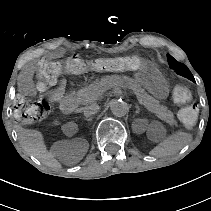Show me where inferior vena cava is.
<instances>
[{"label":"inferior vena cava","mask_w":211,"mask_h":211,"mask_svg":"<svg viewBox=\"0 0 211 211\" xmlns=\"http://www.w3.org/2000/svg\"><path fill=\"white\" fill-rule=\"evenodd\" d=\"M99 110H100V105L98 103H92L83 108L84 116L91 117L95 115L97 112H99Z\"/></svg>","instance_id":"602c4592"}]
</instances>
